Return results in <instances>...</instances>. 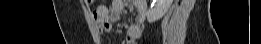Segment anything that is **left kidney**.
<instances>
[{
  "instance_id": "1",
  "label": "left kidney",
  "mask_w": 261,
  "mask_h": 44,
  "mask_svg": "<svg viewBox=\"0 0 261 44\" xmlns=\"http://www.w3.org/2000/svg\"><path fill=\"white\" fill-rule=\"evenodd\" d=\"M156 4L147 11V20L149 23L161 19L170 8L173 0H154Z\"/></svg>"
}]
</instances>
